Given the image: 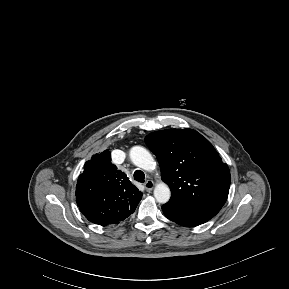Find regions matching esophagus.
Wrapping results in <instances>:
<instances>
[{"mask_svg": "<svg viewBox=\"0 0 289 289\" xmlns=\"http://www.w3.org/2000/svg\"><path fill=\"white\" fill-rule=\"evenodd\" d=\"M144 187L146 189V191H151L153 188H154V182L152 180H147L145 183H144Z\"/></svg>", "mask_w": 289, "mask_h": 289, "instance_id": "obj_1", "label": "esophagus"}]
</instances>
